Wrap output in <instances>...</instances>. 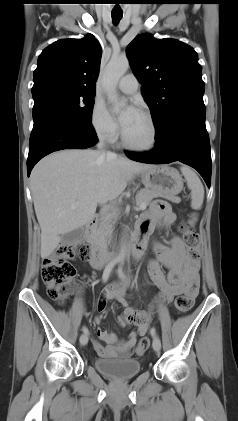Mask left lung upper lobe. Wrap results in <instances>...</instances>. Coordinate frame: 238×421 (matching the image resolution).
<instances>
[{
  "instance_id": "obj_1",
  "label": "left lung upper lobe",
  "mask_w": 238,
  "mask_h": 421,
  "mask_svg": "<svg viewBox=\"0 0 238 421\" xmlns=\"http://www.w3.org/2000/svg\"><path fill=\"white\" fill-rule=\"evenodd\" d=\"M157 134L179 114L205 109L202 67L194 49L175 39L137 36L127 47Z\"/></svg>"
}]
</instances>
